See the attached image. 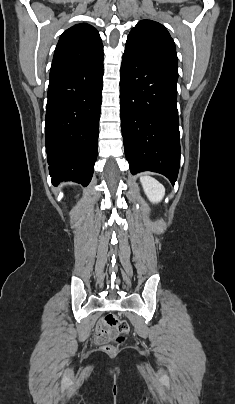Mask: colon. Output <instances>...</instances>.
I'll list each match as a JSON object with an SVG mask.
<instances>
[{"label":"colon","mask_w":235,"mask_h":404,"mask_svg":"<svg viewBox=\"0 0 235 404\" xmlns=\"http://www.w3.org/2000/svg\"><path fill=\"white\" fill-rule=\"evenodd\" d=\"M130 332V326L126 321L121 320L117 315L108 313L103 318V327L96 330L95 338L100 343H106L114 333L116 336V346L122 345L126 340V335ZM113 345H106V351H112Z\"/></svg>","instance_id":"colon-1"}]
</instances>
